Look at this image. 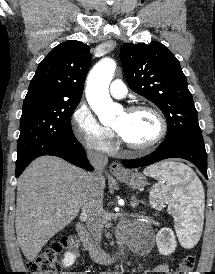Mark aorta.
I'll use <instances>...</instances> for the list:
<instances>
[{
    "label": "aorta",
    "instance_id": "1",
    "mask_svg": "<svg viewBox=\"0 0 215 274\" xmlns=\"http://www.w3.org/2000/svg\"><path fill=\"white\" fill-rule=\"evenodd\" d=\"M115 69V61L104 58L93 67L87 81V101L104 125L111 123L122 110L119 104L112 101L108 91Z\"/></svg>",
    "mask_w": 215,
    "mask_h": 274
}]
</instances>
